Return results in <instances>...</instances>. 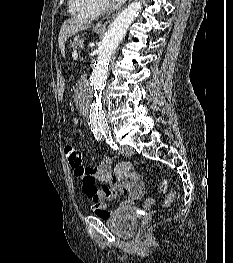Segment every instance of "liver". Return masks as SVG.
Masks as SVG:
<instances>
[{
  "label": "liver",
  "instance_id": "obj_1",
  "mask_svg": "<svg viewBox=\"0 0 233 263\" xmlns=\"http://www.w3.org/2000/svg\"><path fill=\"white\" fill-rule=\"evenodd\" d=\"M91 27V22L81 18H70L63 22L58 38L59 48L63 56H65V42L66 40L84 30Z\"/></svg>",
  "mask_w": 233,
  "mask_h": 263
}]
</instances>
